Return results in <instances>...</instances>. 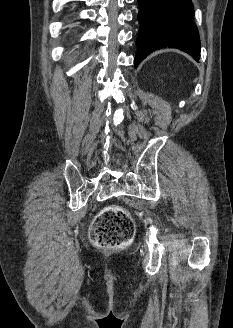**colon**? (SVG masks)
Masks as SVG:
<instances>
[{"mask_svg": "<svg viewBox=\"0 0 233 328\" xmlns=\"http://www.w3.org/2000/svg\"><path fill=\"white\" fill-rule=\"evenodd\" d=\"M134 233L135 223L128 211L119 206H108L96 216L90 238L98 247L116 248L130 243Z\"/></svg>", "mask_w": 233, "mask_h": 328, "instance_id": "1", "label": "colon"}]
</instances>
